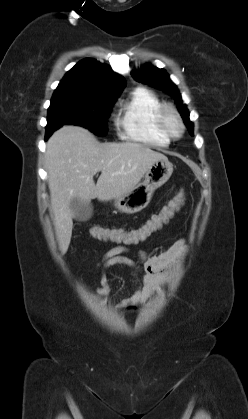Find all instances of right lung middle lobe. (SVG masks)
<instances>
[{
	"mask_svg": "<svg viewBox=\"0 0 248 419\" xmlns=\"http://www.w3.org/2000/svg\"><path fill=\"white\" fill-rule=\"evenodd\" d=\"M117 97L55 90L48 108L46 131H55L62 125L74 124L86 127L98 136H105L106 119Z\"/></svg>",
	"mask_w": 248,
	"mask_h": 419,
	"instance_id": "right-lung-middle-lobe-1",
	"label": "right lung middle lobe"
}]
</instances>
